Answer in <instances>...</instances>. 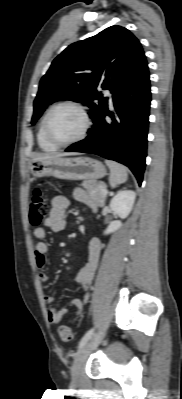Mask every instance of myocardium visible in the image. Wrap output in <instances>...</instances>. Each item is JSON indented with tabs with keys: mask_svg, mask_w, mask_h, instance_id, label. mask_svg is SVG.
Listing matches in <instances>:
<instances>
[{
	"mask_svg": "<svg viewBox=\"0 0 182 399\" xmlns=\"http://www.w3.org/2000/svg\"><path fill=\"white\" fill-rule=\"evenodd\" d=\"M62 107H72L75 108L76 110H78L80 112V114L83 117L84 120V125H83V129L80 132V134L68 141H58L56 140L51 132H50V119L52 114L59 108ZM91 118L90 115L87 111V109L80 103L75 102V101H63L60 103H57L56 105L52 106L49 111L47 112L46 116H45V120H44V134L45 137L47 138V140L52 143L53 145H55L56 147H64V146H69L75 143H78L80 141H82L86 135L88 134L90 128H91Z\"/></svg>",
	"mask_w": 182,
	"mask_h": 399,
	"instance_id": "1",
	"label": "myocardium"
}]
</instances>
